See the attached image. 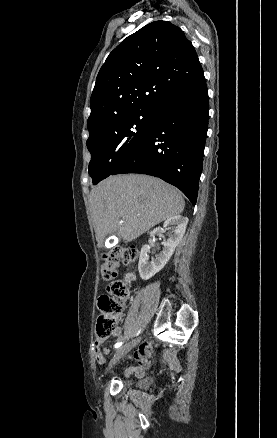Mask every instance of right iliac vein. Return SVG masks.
Returning <instances> with one entry per match:
<instances>
[{"instance_id": "1", "label": "right iliac vein", "mask_w": 277, "mask_h": 438, "mask_svg": "<svg viewBox=\"0 0 277 438\" xmlns=\"http://www.w3.org/2000/svg\"><path fill=\"white\" fill-rule=\"evenodd\" d=\"M140 342V339H135L122 347L118 348L112 358V360L109 363V366L107 368V371L116 363L118 362L124 355H126L132 348H134L138 343Z\"/></svg>"}]
</instances>
